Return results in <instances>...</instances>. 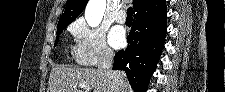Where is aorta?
Returning <instances> with one entry per match:
<instances>
[{
  "mask_svg": "<svg viewBox=\"0 0 225 92\" xmlns=\"http://www.w3.org/2000/svg\"><path fill=\"white\" fill-rule=\"evenodd\" d=\"M106 8V0H90L85 9V19L89 26L96 27L101 23Z\"/></svg>",
  "mask_w": 225,
  "mask_h": 92,
  "instance_id": "obj_1",
  "label": "aorta"
}]
</instances>
